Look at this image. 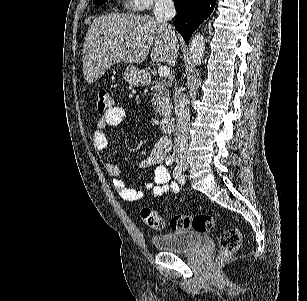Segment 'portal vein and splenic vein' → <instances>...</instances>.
I'll use <instances>...</instances> for the list:
<instances>
[{
	"label": "portal vein and splenic vein",
	"mask_w": 307,
	"mask_h": 301,
	"mask_svg": "<svg viewBox=\"0 0 307 301\" xmlns=\"http://www.w3.org/2000/svg\"><path fill=\"white\" fill-rule=\"evenodd\" d=\"M158 72H159V76H169L170 74V68H168V66H158Z\"/></svg>",
	"instance_id": "1"
}]
</instances>
